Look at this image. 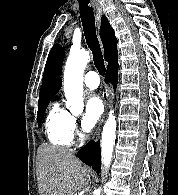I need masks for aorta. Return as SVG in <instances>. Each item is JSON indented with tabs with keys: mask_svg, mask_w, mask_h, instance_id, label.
I'll return each instance as SVG.
<instances>
[{
	"mask_svg": "<svg viewBox=\"0 0 178 195\" xmlns=\"http://www.w3.org/2000/svg\"><path fill=\"white\" fill-rule=\"evenodd\" d=\"M89 59L90 55L86 50L72 52L65 65L63 87L67 99L66 107L73 114L81 113L83 110V73ZM115 139L116 119L114 112L110 111L101 136L102 163L105 169L111 163ZM95 194L101 195V189H97Z\"/></svg>",
	"mask_w": 178,
	"mask_h": 195,
	"instance_id": "obj_1",
	"label": "aorta"
}]
</instances>
